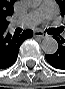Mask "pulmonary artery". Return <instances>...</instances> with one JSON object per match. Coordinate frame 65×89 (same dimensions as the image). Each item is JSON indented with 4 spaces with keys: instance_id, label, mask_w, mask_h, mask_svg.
<instances>
[{
    "instance_id": "pulmonary-artery-1",
    "label": "pulmonary artery",
    "mask_w": 65,
    "mask_h": 89,
    "mask_svg": "<svg viewBox=\"0 0 65 89\" xmlns=\"http://www.w3.org/2000/svg\"><path fill=\"white\" fill-rule=\"evenodd\" d=\"M56 15V6L52 1L45 0L40 7L30 12L26 16L16 20L14 24L32 27L40 23L43 19H53Z\"/></svg>"
}]
</instances>
